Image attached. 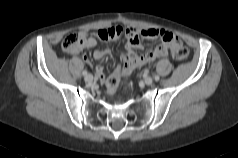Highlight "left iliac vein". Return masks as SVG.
Here are the masks:
<instances>
[{"instance_id": "left-iliac-vein-1", "label": "left iliac vein", "mask_w": 238, "mask_h": 158, "mask_svg": "<svg viewBox=\"0 0 238 158\" xmlns=\"http://www.w3.org/2000/svg\"><path fill=\"white\" fill-rule=\"evenodd\" d=\"M144 83H145L146 85H151V84L153 83V78H151V77H146V78L144 79Z\"/></svg>"}]
</instances>
